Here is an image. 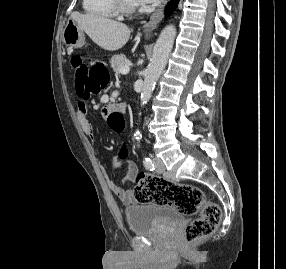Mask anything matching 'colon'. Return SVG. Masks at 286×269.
I'll use <instances>...</instances> for the list:
<instances>
[{
	"mask_svg": "<svg viewBox=\"0 0 286 269\" xmlns=\"http://www.w3.org/2000/svg\"><path fill=\"white\" fill-rule=\"evenodd\" d=\"M75 73V84L83 97L96 93L106 82V72L103 64L92 62L80 56L71 60ZM110 126H119L114 134L124 131L126 116H110ZM126 147V142H121ZM117 155H130V150H117ZM134 190L137 201L141 203H155L174 208L182 215H193L200 212V216L191 222L184 231L183 242L190 245L198 240L210 236L217 228L221 219L220 207L208 200L202 189L189 184L176 183L162 177L138 173L135 178Z\"/></svg>",
	"mask_w": 286,
	"mask_h": 269,
	"instance_id": "1",
	"label": "colon"
}]
</instances>
